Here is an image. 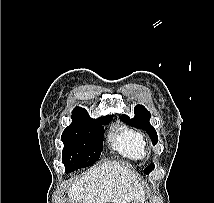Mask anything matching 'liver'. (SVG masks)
<instances>
[{
	"label": "liver",
	"instance_id": "liver-1",
	"mask_svg": "<svg viewBox=\"0 0 214 203\" xmlns=\"http://www.w3.org/2000/svg\"><path fill=\"white\" fill-rule=\"evenodd\" d=\"M67 193L71 203H146L138 174L115 161L90 169Z\"/></svg>",
	"mask_w": 214,
	"mask_h": 203
}]
</instances>
